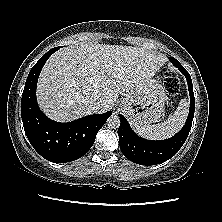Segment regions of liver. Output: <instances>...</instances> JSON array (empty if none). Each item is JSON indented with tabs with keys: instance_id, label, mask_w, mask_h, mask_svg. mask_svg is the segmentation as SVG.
<instances>
[{
	"instance_id": "6515ba94",
	"label": "liver",
	"mask_w": 222,
	"mask_h": 222,
	"mask_svg": "<svg viewBox=\"0 0 222 222\" xmlns=\"http://www.w3.org/2000/svg\"><path fill=\"white\" fill-rule=\"evenodd\" d=\"M166 62L145 48L86 43L55 52L43 67L37 99L51 119L67 122L91 114L85 102L96 98L105 112L119 95H139Z\"/></svg>"
}]
</instances>
